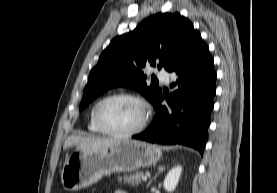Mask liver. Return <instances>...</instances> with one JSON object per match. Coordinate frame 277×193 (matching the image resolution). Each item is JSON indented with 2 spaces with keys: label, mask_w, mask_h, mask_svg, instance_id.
Instances as JSON below:
<instances>
[{
  "label": "liver",
  "mask_w": 277,
  "mask_h": 193,
  "mask_svg": "<svg viewBox=\"0 0 277 193\" xmlns=\"http://www.w3.org/2000/svg\"><path fill=\"white\" fill-rule=\"evenodd\" d=\"M119 140L114 138H103V137H82L72 135L68 137L65 142L63 149L67 150L69 147L77 146L79 148H92V149H103L116 144Z\"/></svg>",
  "instance_id": "obj_1"
}]
</instances>
